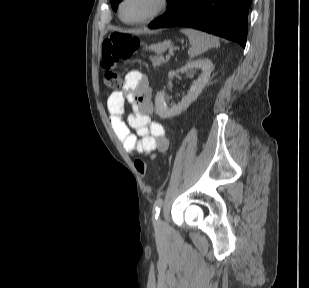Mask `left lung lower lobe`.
I'll return each instance as SVG.
<instances>
[{
  "label": "left lung lower lobe",
  "instance_id": "0a47b994",
  "mask_svg": "<svg viewBox=\"0 0 309 288\" xmlns=\"http://www.w3.org/2000/svg\"><path fill=\"white\" fill-rule=\"evenodd\" d=\"M252 0H176L151 29L183 26L246 45L247 17Z\"/></svg>",
  "mask_w": 309,
  "mask_h": 288
}]
</instances>
